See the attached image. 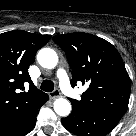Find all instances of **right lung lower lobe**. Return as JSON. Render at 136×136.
<instances>
[{
	"label": "right lung lower lobe",
	"instance_id": "right-lung-lower-lobe-1",
	"mask_svg": "<svg viewBox=\"0 0 136 136\" xmlns=\"http://www.w3.org/2000/svg\"><path fill=\"white\" fill-rule=\"evenodd\" d=\"M49 99L48 95L40 102L37 110L35 111L34 115L32 116V118L30 119V121L28 122V124L20 131L15 132L13 134H10L8 136H24L27 133H29L35 126L36 124V116H37V112L38 109Z\"/></svg>",
	"mask_w": 136,
	"mask_h": 136
}]
</instances>
